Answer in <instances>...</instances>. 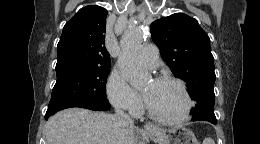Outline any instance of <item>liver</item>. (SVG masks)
I'll use <instances>...</instances> for the list:
<instances>
[{"mask_svg":"<svg viewBox=\"0 0 260 144\" xmlns=\"http://www.w3.org/2000/svg\"><path fill=\"white\" fill-rule=\"evenodd\" d=\"M134 129L116 115L69 108L47 121L45 136L47 144H131Z\"/></svg>","mask_w":260,"mask_h":144,"instance_id":"liver-1","label":"liver"}]
</instances>
